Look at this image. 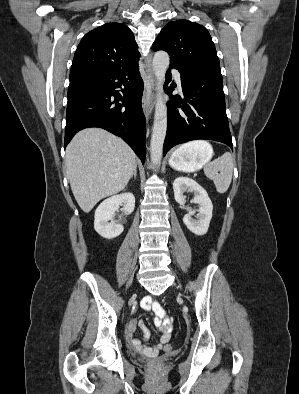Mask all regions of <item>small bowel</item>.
<instances>
[{"instance_id":"c3829d8e","label":"small bowel","mask_w":299,"mask_h":394,"mask_svg":"<svg viewBox=\"0 0 299 394\" xmlns=\"http://www.w3.org/2000/svg\"><path fill=\"white\" fill-rule=\"evenodd\" d=\"M141 306L143 309L151 311L153 315V322L155 327L160 333V338L156 345L150 346L147 344H143L141 340L135 337V331L137 326H139L143 332V339L148 340L150 337L149 330L146 324L143 321L137 322L136 320L132 319L127 327V337L131 347L140 352L141 354L153 357L156 356L162 348L170 341L171 334H172V322L173 320L166 315L165 310L160 305L159 302L154 300L152 297L148 296L145 297L142 302Z\"/></svg>"}]
</instances>
